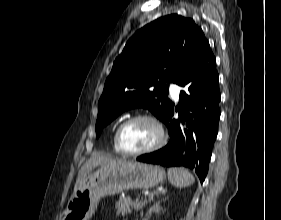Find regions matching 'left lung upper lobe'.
Instances as JSON below:
<instances>
[{
  "instance_id": "5c2ea615",
  "label": "left lung upper lobe",
  "mask_w": 281,
  "mask_h": 220,
  "mask_svg": "<svg viewBox=\"0 0 281 220\" xmlns=\"http://www.w3.org/2000/svg\"><path fill=\"white\" fill-rule=\"evenodd\" d=\"M203 31L190 18L161 17L138 30L115 59L98 103L96 134L123 111L143 107L166 123L173 103L168 83L188 72L194 59L209 48Z\"/></svg>"
}]
</instances>
